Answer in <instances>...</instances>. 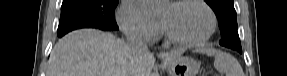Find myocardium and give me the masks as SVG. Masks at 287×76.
Here are the masks:
<instances>
[{"mask_svg": "<svg viewBox=\"0 0 287 76\" xmlns=\"http://www.w3.org/2000/svg\"><path fill=\"white\" fill-rule=\"evenodd\" d=\"M187 3L198 4L201 7H203L205 11L208 13L209 20H210L209 27L203 36H201L200 38L194 39V40H184V39H180L177 36H175L163 20H161V26L165 34V37L167 38L169 42L175 45L183 46V47H195V46H199L207 42L212 37V35L215 33L216 28H217V17L213 9L204 0H179V1L171 2L170 5L172 7H178L183 4H187Z\"/></svg>", "mask_w": 287, "mask_h": 76, "instance_id": "obj_1", "label": "myocardium"}]
</instances>
